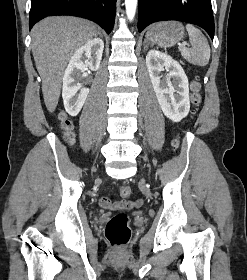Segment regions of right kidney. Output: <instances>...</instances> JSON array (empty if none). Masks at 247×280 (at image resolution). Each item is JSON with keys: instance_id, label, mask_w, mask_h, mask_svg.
<instances>
[{"instance_id": "right-kidney-1", "label": "right kidney", "mask_w": 247, "mask_h": 280, "mask_svg": "<svg viewBox=\"0 0 247 280\" xmlns=\"http://www.w3.org/2000/svg\"><path fill=\"white\" fill-rule=\"evenodd\" d=\"M104 42L99 39H91L78 48L72 55L63 76L62 97L66 112L76 116L81 111L89 89L79 83L81 72L86 69L96 71L100 67Z\"/></svg>"}]
</instances>
